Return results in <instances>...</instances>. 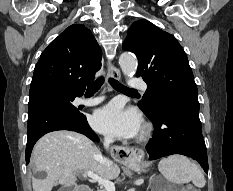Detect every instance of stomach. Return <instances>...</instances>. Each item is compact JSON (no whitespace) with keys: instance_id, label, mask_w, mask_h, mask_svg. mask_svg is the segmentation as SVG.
Returning <instances> with one entry per match:
<instances>
[{"instance_id":"obj_1","label":"stomach","mask_w":233,"mask_h":191,"mask_svg":"<svg viewBox=\"0 0 233 191\" xmlns=\"http://www.w3.org/2000/svg\"><path fill=\"white\" fill-rule=\"evenodd\" d=\"M131 167L136 171H141L142 170L139 162H135V163L131 164Z\"/></svg>"}]
</instances>
